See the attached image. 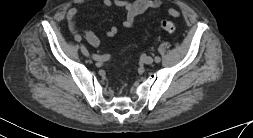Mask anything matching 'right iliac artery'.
Returning <instances> with one entry per match:
<instances>
[{
	"label": "right iliac artery",
	"mask_w": 253,
	"mask_h": 138,
	"mask_svg": "<svg viewBox=\"0 0 253 138\" xmlns=\"http://www.w3.org/2000/svg\"><path fill=\"white\" fill-rule=\"evenodd\" d=\"M74 40L77 42V43H80L82 41V38L79 36V35H76L74 37ZM93 58L94 59H99V60H108L110 58V55L109 54H104L102 56H98V55H93Z\"/></svg>",
	"instance_id": "1"
}]
</instances>
